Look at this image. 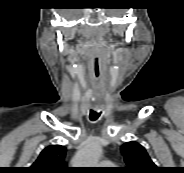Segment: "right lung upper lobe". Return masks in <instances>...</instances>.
Returning <instances> with one entry per match:
<instances>
[{
	"instance_id": "1",
	"label": "right lung upper lobe",
	"mask_w": 184,
	"mask_h": 173,
	"mask_svg": "<svg viewBox=\"0 0 184 173\" xmlns=\"http://www.w3.org/2000/svg\"><path fill=\"white\" fill-rule=\"evenodd\" d=\"M65 156L64 146H48L27 171L28 173H69V168L65 165Z\"/></svg>"
}]
</instances>
